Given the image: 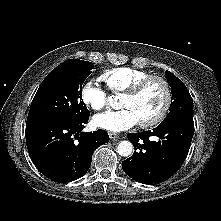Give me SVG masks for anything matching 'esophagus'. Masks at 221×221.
Returning a JSON list of instances; mask_svg holds the SVG:
<instances>
[{"label":"esophagus","mask_w":221,"mask_h":221,"mask_svg":"<svg viewBox=\"0 0 221 221\" xmlns=\"http://www.w3.org/2000/svg\"><path fill=\"white\" fill-rule=\"evenodd\" d=\"M109 137H110L112 140H116V139L119 137V134H118V133H115V132H109Z\"/></svg>","instance_id":"1"}]
</instances>
